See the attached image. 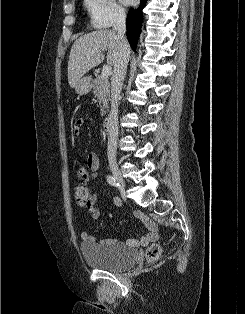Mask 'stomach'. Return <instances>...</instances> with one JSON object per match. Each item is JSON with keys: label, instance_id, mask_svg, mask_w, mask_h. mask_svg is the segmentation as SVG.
Returning a JSON list of instances; mask_svg holds the SVG:
<instances>
[{"label": "stomach", "instance_id": "obj_1", "mask_svg": "<svg viewBox=\"0 0 245 314\" xmlns=\"http://www.w3.org/2000/svg\"><path fill=\"white\" fill-rule=\"evenodd\" d=\"M92 88L91 78L82 77L80 78L75 85V91L79 95H86L90 92Z\"/></svg>", "mask_w": 245, "mask_h": 314}]
</instances>
